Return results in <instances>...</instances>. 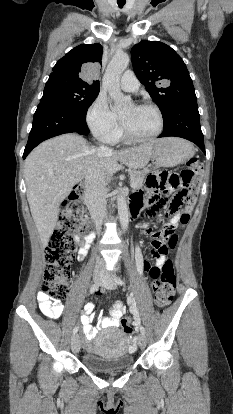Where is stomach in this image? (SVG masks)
I'll list each match as a JSON object with an SVG mask.
<instances>
[{"mask_svg": "<svg viewBox=\"0 0 233 414\" xmlns=\"http://www.w3.org/2000/svg\"><path fill=\"white\" fill-rule=\"evenodd\" d=\"M194 155V147L178 138L156 140L151 160L157 167H174L186 163Z\"/></svg>", "mask_w": 233, "mask_h": 414, "instance_id": "0dacf381", "label": "stomach"}]
</instances>
